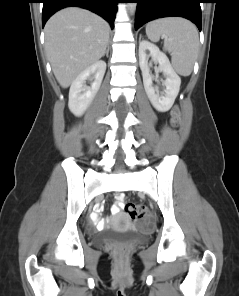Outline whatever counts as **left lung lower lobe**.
<instances>
[{
	"instance_id": "obj_1",
	"label": "left lung lower lobe",
	"mask_w": 239,
	"mask_h": 296,
	"mask_svg": "<svg viewBox=\"0 0 239 296\" xmlns=\"http://www.w3.org/2000/svg\"><path fill=\"white\" fill-rule=\"evenodd\" d=\"M137 3L135 30L157 18L178 16L191 20L201 31V0H131Z\"/></svg>"
}]
</instances>
